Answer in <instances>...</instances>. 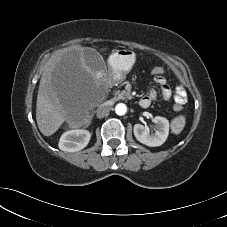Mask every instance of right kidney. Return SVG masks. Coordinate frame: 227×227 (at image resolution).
Listing matches in <instances>:
<instances>
[{
    "label": "right kidney",
    "mask_w": 227,
    "mask_h": 227,
    "mask_svg": "<svg viewBox=\"0 0 227 227\" xmlns=\"http://www.w3.org/2000/svg\"><path fill=\"white\" fill-rule=\"evenodd\" d=\"M90 138L91 134L87 130H69L61 135L58 146L65 152H77L88 145Z\"/></svg>",
    "instance_id": "obj_1"
}]
</instances>
